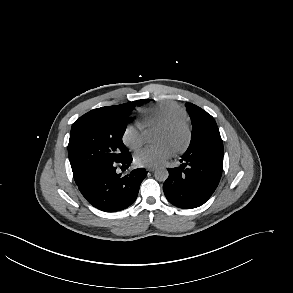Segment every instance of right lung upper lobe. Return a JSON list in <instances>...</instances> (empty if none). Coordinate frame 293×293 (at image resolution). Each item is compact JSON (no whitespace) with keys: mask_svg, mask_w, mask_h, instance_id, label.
I'll use <instances>...</instances> for the list:
<instances>
[{"mask_svg":"<svg viewBox=\"0 0 293 293\" xmlns=\"http://www.w3.org/2000/svg\"><path fill=\"white\" fill-rule=\"evenodd\" d=\"M82 178H83V177H74V179H75V182H78V181H80Z\"/></svg>","mask_w":293,"mask_h":293,"instance_id":"right-lung-upper-lobe-1","label":"right lung upper lobe"}]
</instances>
